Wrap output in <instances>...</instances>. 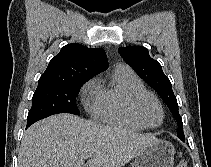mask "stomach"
Returning <instances> with one entry per match:
<instances>
[{
	"label": "stomach",
	"instance_id": "obj_1",
	"mask_svg": "<svg viewBox=\"0 0 211 167\" xmlns=\"http://www.w3.org/2000/svg\"><path fill=\"white\" fill-rule=\"evenodd\" d=\"M174 146L164 140H158L138 155L132 167H173Z\"/></svg>",
	"mask_w": 211,
	"mask_h": 167
}]
</instances>
